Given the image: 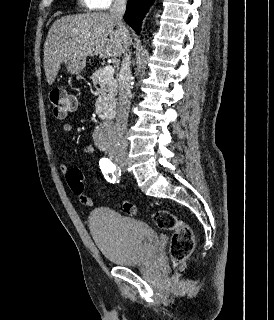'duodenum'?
Returning a JSON list of instances; mask_svg holds the SVG:
<instances>
[{
  "instance_id": "duodenum-1",
  "label": "duodenum",
  "mask_w": 274,
  "mask_h": 320,
  "mask_svg": "<svg viewBox=\"0 0 274 320\" xmlns=\"http://www.w3.org/2000/svg\"><path fill=\"white\" fill-rule=\"evenodd\" d=\"M97 115L101 120H113L116 116V112L110 109L99 108Z\"/></svg>"
}]
</instances>
